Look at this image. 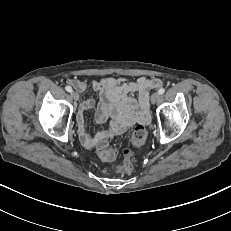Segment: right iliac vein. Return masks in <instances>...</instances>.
<instances>
[{
    "instance_id": "1",
    "label": "right iliac vein",
    "mask_w": 231,
    "mask_h": 231,
    "mask_svg": "<svg viewBox=\"0 0 231 231\" xmlns=\"http://www.w3.org/2000/svg\"><path fill=\"white\" fill-rule=\"evenodd\" d=\"M71 96L75 101L79 100V94L77 92L72 91Z\"/></svg>"
}]
</instances>
